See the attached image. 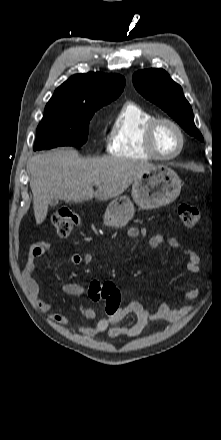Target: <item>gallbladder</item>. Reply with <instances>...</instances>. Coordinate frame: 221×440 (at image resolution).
<instances>
[{
  "mask_svg": "<svg viewBox=\"0 0 221 440\" xmlns=\"http://www.w3.org/2000/svg\"><path fill=\"white\" fill-rule=\"evenodd\" d=\"M58 204V199H53L51 202H50V206L51 207H54V206H56Z\"/></svg>",
  "mask_w": 221,
  "mask_h": 440,
  "instance_id": "gallbladder-1",
  "label": "gallbladder"
}]
</instances>
